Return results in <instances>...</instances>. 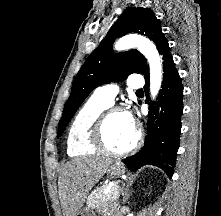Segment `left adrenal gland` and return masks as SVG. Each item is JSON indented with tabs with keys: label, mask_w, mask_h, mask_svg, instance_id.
<instances>
[{
	"label": "left adrenal gland",
	"mask_w": 221,
	"mask_h": 216,
	"mask_svg": "<svg viewBox=\"0 0 221 216\" xmlns=\"http://www.w3.org/2000/svg\"><path fill=\"white\" fill-rule=\"evenodd\" d=\"M122 196H123V204H125L127 202V200L129 199V197L132 195V191H129L127 188H125L124 186L122 187Z\"/></svg>",
	"instance_id": "obj_1"
}]
</instances>
